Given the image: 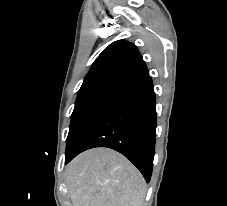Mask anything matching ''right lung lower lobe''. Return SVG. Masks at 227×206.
<instances>
[{
  "mask_svg": "<svg viewBox=\"0 0 227 206\" xmlns=\"http://www.w3.org/2000/svg\"><path fill=\"white\" fill-rule=\"evenodd\" d=\"M156 99L152 79L146 75L109 104L83 134L66 164L79 153L108 147L126 156L150 181L155 150Z\"/></svg>",
  "mask_w": 227,
  "mask_h": 206,
  "instance_id": "right-lung-lower-lobe-1",
  "label": "right lung lower lobe"
}]
</instances>
